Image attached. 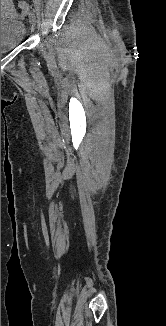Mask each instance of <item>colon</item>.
Segmentation results:
<instances>
[{"label":"colon","mask_w":166,"mask_h":326,"mask_svg":"<svg viewBox=\"0 0 166 326\" xmlns=\"http://www.w3.org/2000/svg\"><path fill=\"white\" fill-rule=\"evenodd\" d=\"M18 6H19L20 9L24 10V9H26L27 5H26L25 2L21 1V2H19Z\"/></svg>","instance_id":"1"}]
</instances>
